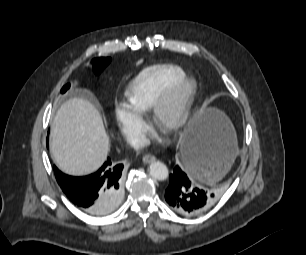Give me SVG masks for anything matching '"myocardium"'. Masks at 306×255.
I'll return each instance as SVG.
<instances>
[{"mask_svg":"<svg viewBox=\"0 0 306 255\" xmlns=\"http://www.w3.org/2000/svg\"><path fill=\"white\" fill-rule=\"evenodd\" d=\"M198 93L193 78H184L163 94L151 109L153 124L166 132L183 128L189 120Z\"/></svg>","mask_w":306,"mask_h":255,"instance_id":"myocardium-1","label":"myocardium"}]
</instances>
